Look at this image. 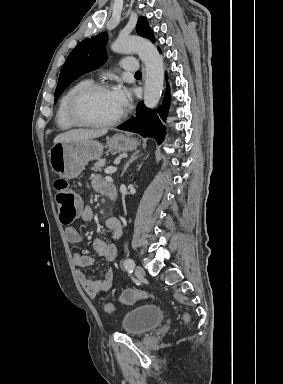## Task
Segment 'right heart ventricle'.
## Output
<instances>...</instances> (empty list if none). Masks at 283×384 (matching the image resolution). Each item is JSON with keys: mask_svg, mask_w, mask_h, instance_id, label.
I'll list each match as a JSON object with an SVG mask.
<instances>
[{"mask_svg": "<svg viewBox=\"0 0 283 384\" xmlns=\"http://www.w3.org/2000/svg\"><path fill=\"white\" fill-rule=\"evenodd\" d=\"M90 80H82L74 85H72L59 99L56 113L55 121L57 127L62 131H71L76 127L71 124L67 116V107L72 96L83 86L90 84Z\"/></svg>", "mask_w": 283, "mask_h": 384, "instance_id": "1", "label": "right heart ventricle"}]
</instances>
